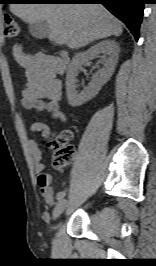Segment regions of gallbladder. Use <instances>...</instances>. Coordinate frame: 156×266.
<instances>
[{
  "label": "gallbladder",
  "instance_id": "gallbladder-1",
  "mask_svg": "<svg viewBox=\"0 0 156 266\" xmlns=\"http://www.w3.org/2000/svg\"><path fill=\"white\" fill-rule=\"evenodd\" d=\"M30 34L38 39L46 38L49 35L50 29L45 21L36 22L29 25Z\"/></svg>",
  "mask_w": 156,
  "mask_h": 266
}]
</instances>
